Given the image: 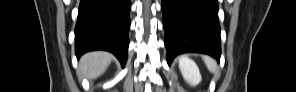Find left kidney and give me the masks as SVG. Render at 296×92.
<instances>
[{
    "label": "left kidney",
    "mask_w": 296,
    "mask_h": 92,
    "mask_svg": "<svg viewBox=\"0 0 296 92\" xmlns=\"http://www.w3.org/2000/svg\"><path fill=\"white\" fill-rule=\"evenodd\" d=\"M179 69L186 82L190 85L195 86L201 82L199 68L193 60L187 57H181L179 59Z\"/></svg>",
    "instance_id": "left-kidney-1"
}]
</instances>
